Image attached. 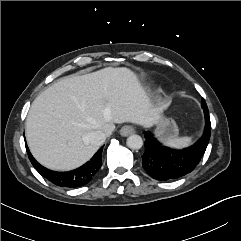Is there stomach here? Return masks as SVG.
<instances>
[{"label":"stomach","instance_id":"1","mask_svg":"<svg viewBox=\"0 0 241 241\" xmlns=\"http://www.w3.org/2000/svg\"><path fill=\"white\" fill-rule=\"evenodd\" d=\"M155 135L161 141L175 138L178 135V127L175 121L161 116L156 123Z\"/></svg>","mask_w":241,"mask_h":241}]
</instances>
